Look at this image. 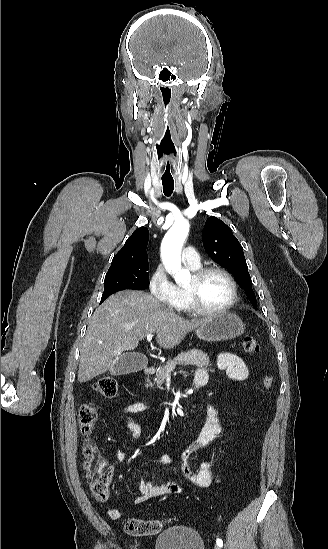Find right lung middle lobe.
Here are the masks:
<instances>
[{"mask_svg": "<svg viewBox=\"0 0 328 549\" xmlns=\"http://www.w3.org/2000/svg\"><path fill=\"white\" fill-rule=\"evenodd\" d=\"M148 260L138 261L107 272L103 302L111 294L124 289L142 290L149 286Z\"/></svg>", "mask_w": 328, "mask_h": 549, "instance_id": "dd1d6c3e", "label": "right lung middle lobe"}]
</instances>
